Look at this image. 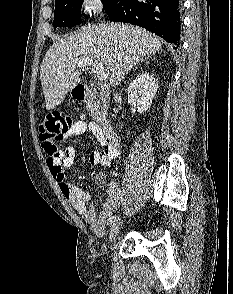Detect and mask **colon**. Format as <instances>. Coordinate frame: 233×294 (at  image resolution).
Masks as SVG:
<instances>
[{
	"label": "colon",
	"mask_w": 233,
	"mask_h": 294,
	"mask_svg": "<svg viewBox=\"0 0 233 294\" xmlns=\"http://www.w3.org/2000/svg\"><path fill=\"white\" fill-rule=\"evenodd\" d=\"M72 124L71 118L58 110L46 113L40 125L39 132L40 141L49 157H59L60 150L58 142L62 140Z\"/></svg>",
	"instance_id": "1"
}]
</instances>
